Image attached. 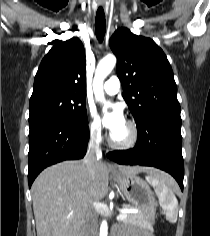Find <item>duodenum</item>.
<instances>
[{"mask_svg":"<svg viewBox=\"0 0 210 236\" xmlns=\"http://www.w3.org/2000/svg\"><path fill=\"white\" fill-rule=\"evenodd\" d=\"M76 236H84L83 235V231L82 230H80L78 233H77V235Z\"/></svg>","mask_w":210,"mask_h":236,"instance_id":"duodenum-1","label":"duodenum"}]
</instances>
